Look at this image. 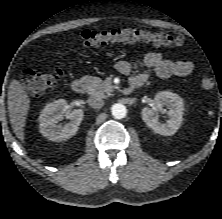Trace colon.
<instances>
[{"label":"colon","instance_id":"1","mask_svg":"<svg viewBox=\"0 0 222 219\" xmlns=\"http://www.w3.org/2000/svg\"><path fill=\"white\" fill-rule=\"evenodd\" d=\"M79 43L83 46H98L113 42H147L160 47H178L182 44L180 37L166 33H151L140 29L113 28L106 30H84L79 33ZM62 76L61 69L49 72H39L27 69L22 74V83L25 89L33 95H41L57 84ZM215 86L212 77L201 80V88L209 91Z\"/></svg>","mask_w":222,"mask_h":219}]
</instances>
